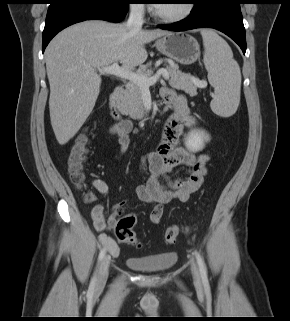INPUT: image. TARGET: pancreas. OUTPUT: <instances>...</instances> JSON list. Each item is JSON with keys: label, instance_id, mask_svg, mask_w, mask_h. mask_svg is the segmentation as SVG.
I'll return each instance as SVG.
<instances>
[{"label": "pancreas", "instance_id": "pancreas-1", "mask_svg": "<svg viewBox=\"0 0 290 321\" xmlns=\"http://www.w3.org/2000/svg\"><path fill=\"white\" fill-rule=\"evenodd\" d=\"M166 70L169 73V85L171 87L178 90H183L190 96L197 95L198 86L193 81V79L197 78L192 77L190 74L182 73L179 70L178 65L172 61H168ZM138 73L149 77L152 75L153 71L152 69L141 68ZM118 108L122 113L129 115L133 119H141L144 116L141 86L133 81H129L126 84L123 97L118 103Z\"/></svg>", "mask_w": 290, "mask_h": 321}]
</instances>
